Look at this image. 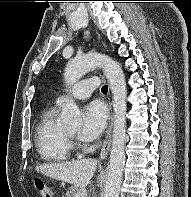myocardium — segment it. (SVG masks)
Here are the masks:
<instances>
[{
	"label": "myocardium",
	"mask_w": 191,
	"mask_h": 197,
	"mask_svg": "<svg viewBox=\"0 0 191 197\" xmlns=\"http://www.w3.org/2000/svg\"><path fill=\"white\" fill-rule=\"evenodd\" d=\"M67 137L69 139L70 144L72 145L73 139H74V134L69 133L66 131Z\"/></svg>",
	"instance_id": "1"
}]
</instances>
